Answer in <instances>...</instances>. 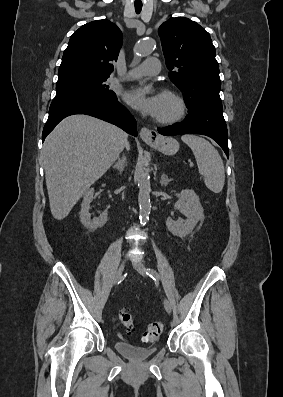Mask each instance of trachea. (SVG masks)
<instances>
[{
    "label": "trachea",
    "mask_w": 283,
    "mask_h": 397,
    "mask_svg": "<svg viewBox=\"0 0 283 397\" xmlns=\"http://www.w3.org/2000/svg\"><path fill=\"white\" fill-rule=\"evenodd\" d=\"M142 10V5H135V11L137 14H139Z\"/></svg>",
    "instance_id": "trachea-1"
}]
</instances>
